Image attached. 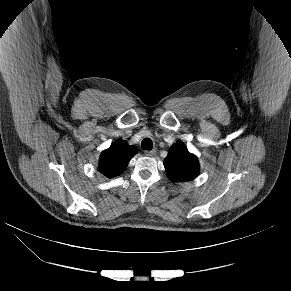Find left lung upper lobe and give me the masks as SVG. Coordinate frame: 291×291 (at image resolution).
<instances>
[{"label":"left lung upper lobe","instance_id":"1","mask_svg":"<svg viewBox=\"0 0 291 291\" xmlns=\"http://www.w3.org/2000/svg\"><path fill=\"white\" fill-rule=\"evenodd\" d=\"M168 178L172 182L192 181L199 175V162L181 141H177L164 160Z\"/></svg>","mask_w":291,"mask_h":291}]
</instances>
